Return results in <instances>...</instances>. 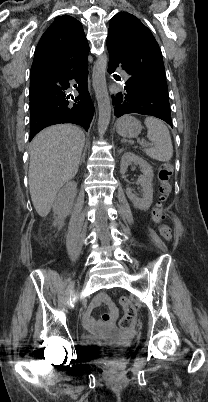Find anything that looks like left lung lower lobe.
Listing matches in <instances>:
<instances>
[{
	"instance_id": "obj_1",
	"label": "left lung lower lobe",
	"mask_w": 208,
	"mask_h": 402,
	"mask_svg": "<svg viewBox=\"0 0 208 402\" xmlns=\"http://www.w3.org/2000/svg\"><path fill=\"white\" fill-rule=\"evenodd\" d=\"M107 48L110 55L108 72L111 74L118 66H121L130 74L127 52L111 39H107ZM112 104L116 117L130 113L151 115L172 126L169 98L162 96L150 86L137 82L132 77L119 92L112 95Z\"/></svg>"
}]
</instances>
